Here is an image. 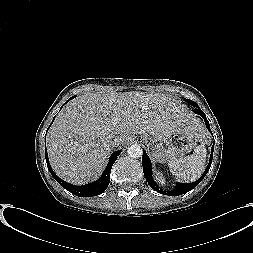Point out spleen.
Listing matches in <instances>:
<instances>
[{
    "label": "spleen",
    "mask_w": 253,
    "mask_h": 253,
    "mask_svg": "<svg viewBox=\"0 0 253 253\" xmlns=\"http://www.w3.org/2000/svg\"><path fill=\"white\" fill-rule=\"evenodd\" d=\"M207 150L204 144L196 146L193 154L177 156L168 160L170 172L179 180H196L205 170Z\"/></svg>",
    "instance_id": "obj_1"
}]
</instances>
